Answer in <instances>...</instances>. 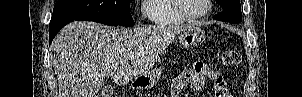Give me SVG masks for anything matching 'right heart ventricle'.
I'll return each mask as SVG.
<instances>
[{"instance_id":"right-heart-ventricle-1","label":"right heart ventricle","mask_w":302,"mask_h":97,"mask_svg":"<svg viewBox=\"0 0 302 97\" xmlns=\"http://www.w3.org/2000/svg\"><path fill=\"white\" fill-rule=\"evenodd\" d=\"M145 14L157 26H179L187 22L174 9L173 0H147Z\"/></svg>"}]
</instances>
